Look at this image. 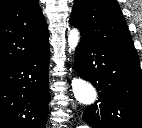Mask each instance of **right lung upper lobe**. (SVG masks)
<instances>
[{
  "mask_svg": "<svg viewBox=\"0 0 142 128\" xmlns=\"http://www.w3.org/2000/svg\"><path fill=\"white\" fill-rule=\"evenodd\" d=\"M48 38L38 0L0 1V72L41 51Z\"/></svg>",
  "mask_w": 142,
  "mask_h": 128,
  "instance_id": "obj_1",
  "label": "right lung upper lobe"
}]
</instances>
